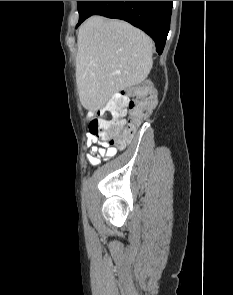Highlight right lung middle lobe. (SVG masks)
Here are the masks:
<instances>
[{"label": "right lung middle lobe", "instance_id": "right-lung-middle-lobe-1", "mask_svg": "<svg viewBox=\"0 0 233 295\" xmlns=\"http://www.w3.org/2000/svg\"><path fill=\"white\" fill-rule=\"evenodd\" d=\"M89 1H77L78 12H79V19L81 18L84 9Z\"/></svg>", "mask_w": 233, "mask_h": 295}]
</instances>
